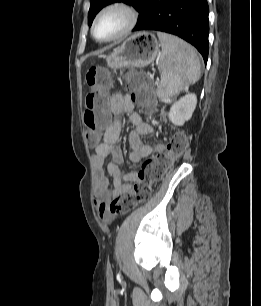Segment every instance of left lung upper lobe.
Instances as JSON below:
<instances>
[{
  "mask_svg": "<svg viewBox=\"0 0 261 306\" xmlns=\"http://www.w3.org/2000/svg\"><path fill=\"white\" fill-rule=\"evenodd\" d=\"M147 0H90V10L88 13V24L91 26L95 15L106 5L113 2H123L132 5L138 12L141 11Z\"/></svg>",
  "mask_w": 261,
  "mask_h": 306,
  "instance_id": "obj_1",
  "label": "left lung upper lobe"
}]
</instances>
